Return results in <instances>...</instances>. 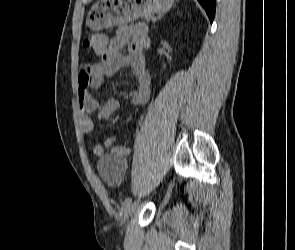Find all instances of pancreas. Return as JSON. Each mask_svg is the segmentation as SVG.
<instances>
[{
  "instance_id": "cf45deb5",
  "label": "pancreas",
  "mask_w": 295,
  "mask_h": 250,
  "mask_svg": "<svg viewBox=\"0 0 295 250\" xmlns=\"http://www.w3.org/2000/svg\"><path fill=\"white\" fill-rule=\"evenodd\" d=\"M144 19H145L146 21L154 20L153 16H151V15L144 16Z\"/></svg>"
}]
</instances>
